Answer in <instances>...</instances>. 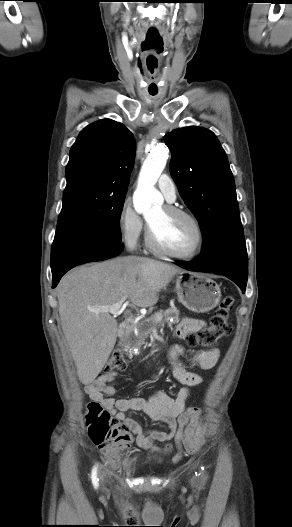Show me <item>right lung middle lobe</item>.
Segmentation results:
<instances>
[{"label": "right lung middle lobe", "instance_id": "dd1d6c3e", "mask_svg": "<svg viewBox=\"0 0 292 527\" xmlns=\"http://www.w3.org/2000/svg\"><path fill=\"white\" fill-rule=\"evenodd\" d=\"M126 192L86 184L67 185L57 229L91 230L121 241L120 216Z\"/></svg>", "mask_w": 292, "mask_h": 527}]
</instances>
